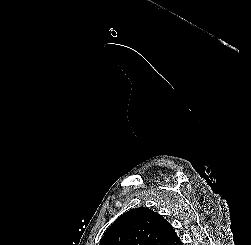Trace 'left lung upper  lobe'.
Returning a JSON list of instances; mask_svg holds the SVG:
<instances>
[{"label":"left lung upper lobe","mask_w":251,"mask_h":245,"mask_svg":"<svg viewBox=\"0 0 251 245\" xmlns=\"http://www.w3.org/2000/svg\"><path fill=\"white\" fill-rule=\"evenodd\" d=\"M180 237L163 216L139 207L122 214L104 233L100 245H179Z\"/></svg>","instance_id":"1"}]
</instances>
